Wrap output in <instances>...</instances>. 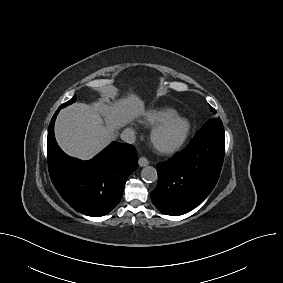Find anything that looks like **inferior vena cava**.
Masks as SVG:
<instances>
[{"instance_id": "602c4592", "label": "inferior vena cava", "mask_w": 283, "mask_h": 283, "mask_svg": "<svg viewBox=\"0 0 283 283\" xmlns=\"http://www.w3.org/2000/svg\"><path fill=\"white\" fill-rule=\"evenodd\" d=\"M120 137L124 142L129 144L134 143L136 139L135 132L130 128L123 130Z\"/></svg>"}]
</instances>
